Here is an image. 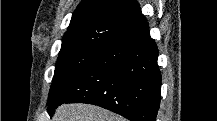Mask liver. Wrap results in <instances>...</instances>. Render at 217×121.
I'll return each mask as SVG.
<instances>
[{
	"label": "liver",
	"instance_id": "1",
	"mask_svg": "<svg viewBox=\"0 0 217 121\" xmlns=\"http://www.w3.org/2000/svg\"><path fill=\"white\" fill-rule=\"evenodd\" d=\"M52 121H126L101 107L87 104H64L57 108Z\"/></svg>",
	"mask_w": 217,
	"mask_h": 121
}]
</instances>
